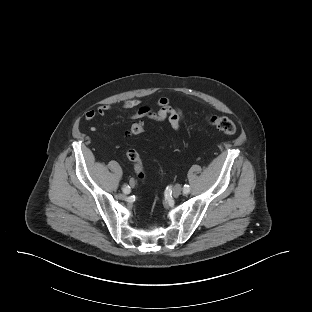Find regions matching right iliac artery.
Instances as JSON below:
<instances>
[{
    "instance_id": "1",
    "label": "right iliac artery",
    "mask_w": 312,
    "mask_h": 312,
    "mask_svg": "<svg viewBox=\"0 0 312 312\" xmlns=\"http://www.w3.org/2000/svg\"><path fill=\"white\" fill-rule=\"evenodd\" d=\"M123 192H124V193H129V192H130V187L127 186V185H125V186L123 187Z\"/></svg>"
}]
</instances>
